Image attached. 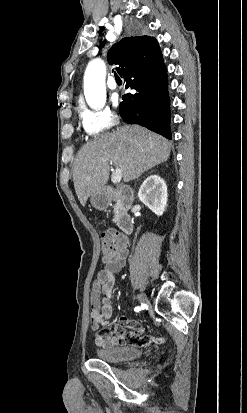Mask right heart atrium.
Masks as SVG:
<instances>
[{
    "label": "right heart atrium",
    "mask_w": 247,
    "mask_h": 413,
    "mask_svg": "<svg viewBox=\"0 0 247 413\" xmlns=\"http://www.w3.org/2000/svg\"><path fill=\"white\" fill-rule=\"evenodd\" d=\"M77 107L81 109V117L84 119L83 126L87 133H105L112 128L114 122L108 114L113 112L111 105H92L90 110L86 100H79Z\"/></svg>",
    "instance_id": "d8ad5b80"
}]
</instances>
